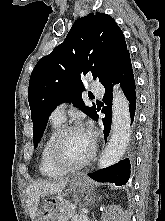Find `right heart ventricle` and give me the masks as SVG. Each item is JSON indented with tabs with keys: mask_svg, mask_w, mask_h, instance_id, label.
Wrapping results in <instances>:
<instances>
[{
	"mask_svg": "<svg viewBox=\"0 0 165 221\" xmlns=\"http://www.w3.org/2000/svg\"><path fill=\"white\" fill-rule=\"evenodd\" d=\"M62 123L52 122L50 131L43 143L40 159H39V171L45 177H59L65 172L58 170L51 162L50 147L52 140L56 133L60 130Z\"/></svg>",
	"mask_w": 165,
	"mask_h": 221,
	"instance_id": "obj_1",
	"label": "right heart ventricle"
}]
</instances>
